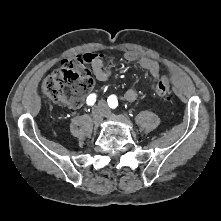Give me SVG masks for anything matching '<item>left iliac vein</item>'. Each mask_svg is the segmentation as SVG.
Masks as SVG:
<instances>
[{"label":"left iliac vein","instance_id":"left-iliac-vein-1","mask_svg":"<svg viewBox=\"0 0 221 221\" xmlns=\"http://www.w3.org/2000/svg\"><path fill=\"white\" fill-rule=\"evenodd\" d=\"M99 105L104 108V116L105 117H113L111 111L108 109V107L106 106V104L103 101H101L99 103Z\"/></svg>","mask_w":221,"mask_h":221}]
</instances>
